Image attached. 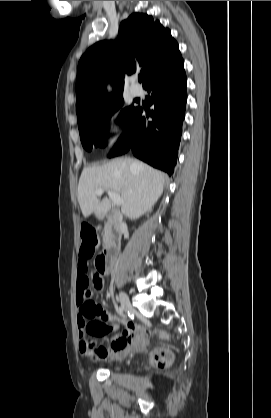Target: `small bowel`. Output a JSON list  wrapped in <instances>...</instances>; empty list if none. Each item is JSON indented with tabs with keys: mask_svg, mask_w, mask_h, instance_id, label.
<instances>
[{
	"mask_svg": "<svg viewBox=\"0 0 271 418\" xmlns=\"http://www.w3.org/2000/svg\"><path fill=\"white\" fill-rule=\"evenodd\" d=\"M102 272H93V288L99 291L102 287ZM80 329V352L90 362H101L123 358L131 352L142 349L146 345L145 331L132 322L126 323L123 330L110 337L108 347H96L91 339H102L105 333L119 328V319L104 312L99 300L90 289V277L86 260H80L77 270V292L75 297ZM107 323H110L108 326Z\"/></svg>",
	"mask_w": 271,
	"mask_h": 418,
	"instance_id": "obj_1",
	"label": "small bowel"
}]
</instances>
